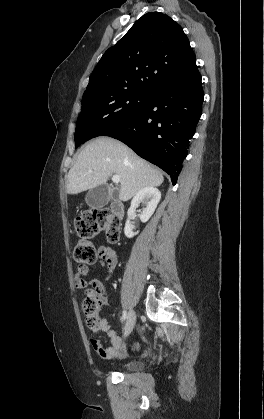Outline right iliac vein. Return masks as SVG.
<instances>
[{
    "label": "right iliac vein",
    "instance_id": "1",
    "mask_svg": "<svg viewBox=\"0 0 264 419\" xmlns=\"http://www.w3.org/2000/svg\"><path fill=\"white\" fill-rule=\"evenodd\" d=\"M136 322V314L133 310H130L127 316V321L125 325V336H128L133 330Z\"/></svg>",
    "mask_w": 264,
    "mask_h": 419
}]
</instances>
